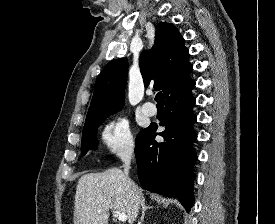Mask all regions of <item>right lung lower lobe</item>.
I'll use <instances>...</instances> for the list:
<instances>
[{
    "mask_svg": "<svg viewBox=\"0 0 275 224\" xmlns=\"http://www.w3.org/2000/svg\"><path fill=\"white\" fill-rule=\"evenodd\" d=\"M194 87L195 81L190 79L165 98L166 117L160 126L166 129L156 133L158 125H150L137 136L135 147L138 177L143 188L176 197L187 212L194 203L192 184L197 160L193 148L197 138L193 130L197 119L192 111L196 101L191 93ZM157 134L164 138L163 142L155 140Z\"/></svg>",
    "mask_w": 275,
    "mask_h": 224,
    "instance_id": "obj_1",
    "label": "right lung lower lobe"
}]
</instances>
